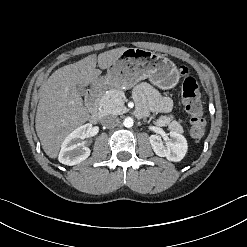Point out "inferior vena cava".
Listing matches in <instances>:
<instances>
[{
  "instance_id": "1",
  "label": "inferior vena cava",
  "mask_w": 247,
  "mask_h": 247,
  "mask_svg": "<svg viewBox=\"0 0 247 247\" xmlns=\"http://www.w3.org/2000/svg\"><path fill=\"white\" fill-rule=\"evenodd\" d=\"M118 123H119V118L114 115H108L101 119V124L108 128H113L117 126Z\"/></svg>"
}]
</instances>
